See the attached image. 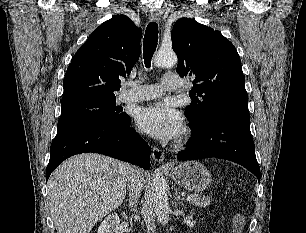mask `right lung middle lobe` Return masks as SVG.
<instances>
[{"instance_id":"1","label":"right lung middle lobe","mask_w":306,"mask_h":233,"mask_svg":"<svg viewBox=\"0 0 306 233\" xmlns=\"http://www.w3.org/2000/svg\"><path fill=\"white\" fill-rule=\"evenodd\" d=\"M61 117L57 132L68 130L79 124L93 121L121 123L127 114L120 113L116 99L82 98L61 104Z\"/></svg>"}]
</instances>
